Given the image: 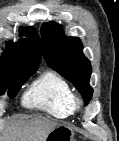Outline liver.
Segmentation results:
<instances>
[{
    "mask_svg": "<svg viewBox=\"0 0 119 141\" xmlns=\"http://www.w3.org/2000/svg\"><path fill=\"white\" fill-rule=\"evenodd\" d=\"M59 125L58 122L41 116L26 118L6 131L0 141H45L47 135Z\"/></svg>",
    "mask_w": 119,
    "mask_h": 141,
    "instance_id": "liver-1",
    "label": "liver"
}]
</instances>
